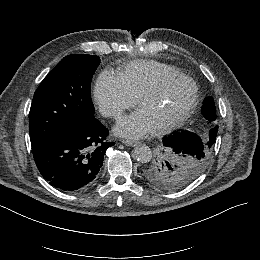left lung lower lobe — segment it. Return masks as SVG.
Returning <instances> with one entry per match:
<instances>
[{
    "label": "left lung lower lobe",
    "mask_w": 260,
    "mask_h": 260,
    "mask_svg": "<svg viewBox=\"0 0 260 260\" xmlns=\"http://www.w3.org/2000/svg\"><path fill=\"white\" fill-rule=\"evenodd\" d=\"M208 103L204 102L202 113L208 117ZM218 126L211 129L209 138L205 142L197 133L192 131L175 132L163 139V143L171 148L174 152L184 155H201L208 146H213L216 141Z\"/></svg>",
    "instance_id": "0a47b994"
}]
</instances>
